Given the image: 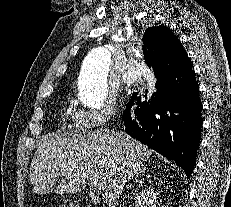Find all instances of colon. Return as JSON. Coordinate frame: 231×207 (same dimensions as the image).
<instances>
[{"label": "colon", "instance_id": "5ec220e1", "mask_svg": "<svg viewBox=\"0 0 231 207\" xmlns=\"http://www.w3.org/2000/svg\"><path fill=\"white\" fill-rule=\"evenodd\" d=\"M64 207H75V206L73 204H71V203H67V204H65Z\"/></svg>", "mask_w": 231, "mask_h": 207}]
</instances>
